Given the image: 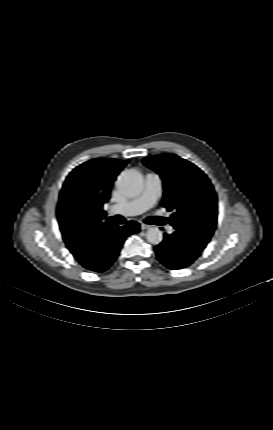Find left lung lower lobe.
<instances>
[{"label":"left lung lower lobe","instance_id":"obj_1","mask_svg":"<svg viewBox=\"0 0 273 430\" xmlns=\"http://www.w3.org/2000/svg\"><path fill=\"white\" fill-rule=\"evenodd\" d=\"M159 261L172 270H178L192 264L201 254V250L181 238L175 231L165 234L162 243L155 247Z\"/></svg>","mask_w":273,"mask_h":430}]
</instances>
